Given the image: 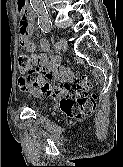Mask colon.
Wrapping results in <instances>:
<instances>
[{"label":"colon","instance_id":"colon-1","mask_svg":"<svg viewBox=\"0 0 123 167\" xmlns=\"http://www.w3.org/2000/svg\"><path fill=\"white\" fill-rule=\"evenodd\" d=\"M18 67L22 72L27 71V83L43 94L59 98L61 110L70 118L78 119L94 110L96 101L95 96L90 95L93 88L90 78L83 77L73 84L53 82L50 76L31 68V59L24 53L18 57Z\"/></svg>","mask_w":123,"mask_h":167}]
</instances>
